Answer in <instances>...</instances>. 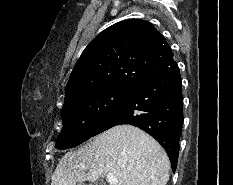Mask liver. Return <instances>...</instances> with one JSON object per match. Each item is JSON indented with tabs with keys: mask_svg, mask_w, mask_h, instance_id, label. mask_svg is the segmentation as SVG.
Returning a JSON list of instances; mask_svg holds the SVG:
<instances>
[{
	"mask_svg": "<svg viewBox=\"0 0 233 185\" xmlns=\"http://www.w3.org/2000/svg\"><path fill=\"white\" fill-rule=\"evenodd\" d=\"M84 165L85 168H79ZM170 161L149 134L131 125L115 126L59 161L51 185H82L112 173L111 185H166Z\"/></svg>",
	"mask_w": 233,
	"mask_h": 185,
	"instance_id": "6515ba94",
	"label": "liver"
}]
</instances>
